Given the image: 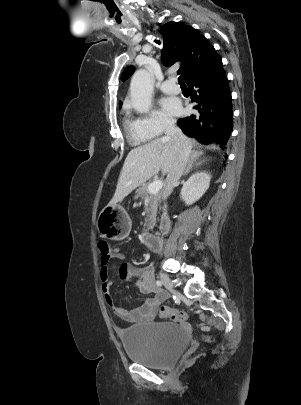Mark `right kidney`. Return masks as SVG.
Here are the masks:
<instances>
[{"mask_svg": "<svg viewBox=\"0 0 301 405\" xmlns=\"http://www.w3.org/2000/svg\"><path fill=\"white\" fill-rule=\"evenodd\" d=\"M211 175L208 172H197L190 176L181 190V197L185 204L192 205L199 200L210 185Z\"/></svg>", "mask_w": 301, "mask_h": 405, "instance_id": "right-kidney-1", "label": "right kidney"}]
</instances>
